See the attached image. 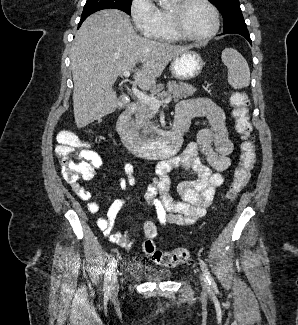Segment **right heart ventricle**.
Segmentation results:
<instances>
[{
	"label": "right heart ventricle",
	"instance_id": "right-heart-ventricle-1",
	"mask_svg": "<svg viewBox=\"0 0 298 325\" xmlns=\"http://www.w3.org/2000/svg\"><path fill=\"white\" fill-rule=\"evenodd\" d=\"M157 10V19L159 22V25L162 26L165 30V35H164V41H173L175 42L177 39H175L170 32L167 31V15L164 10L163 6H160L156 8Z\"/></svg>",
	"mask_w": 298,
	"mask_h": 325
}]
</instances>
